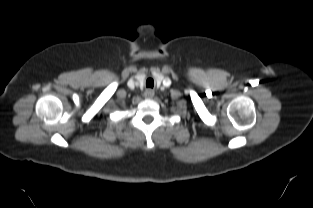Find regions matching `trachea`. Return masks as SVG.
Returning <instances> with one entry per match:
<instances>
[{
	"label": "trachea",
	"instance_id": "1",
	"mask_svg": "<svg viewBox=\"0 0 313 208\" xmlns=\"http://www.w3.org/2000/svg\"><path fill=\"white\" fill-rule=\"evenodd\" d=\"M153 86H154V81H153V79H152V78H148V79L146 80V87H147V88H153Z\"/></svg>",
	"mask_w": 313,
	"mask_h": 208
}]
</instances>
